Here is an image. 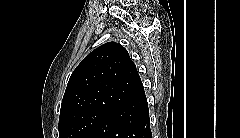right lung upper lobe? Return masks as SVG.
<instances>
[{"mask_svg": "<svg viewBox=\"0 0 240 138\" xmlns=\"http://www.w3.org/2000/svg\"><path fill=\"white\" fill-rule=\"evenodd\" d=\"M142 92L141 79L127 50L108 42L92 51L73 71L60 118L86 110L108 113Z\"/></svg>", "mask_w": 240, "mask_h": 138, "instance_id": "1", "label": "right lung upper lobe"}]
</instances>
